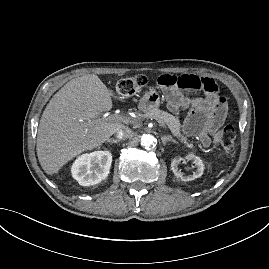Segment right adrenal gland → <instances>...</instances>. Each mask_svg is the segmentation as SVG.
Returning a JSON list of instances; mask_svg holds the SVG:
<instances>
[{
  "mask_svg": "<svg viewBox=\"0 0 269 269\" xmlns=\"http://www.w3.org/2000/svg\"><path fill=\"white\" fill-rule=\"evenodd\" d=\"M107 142H109V143H116V144H118L120 141H119V140H116V139L111 138V139H108V140H107Z\"/></svg>",
  "mask_w": 269,
  "mask_h": 269,
  "instance_id": "2a0ac1e0",
  "label": "right adrenal gland"
}]
</instances>
